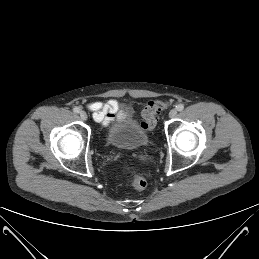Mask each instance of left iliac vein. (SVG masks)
Returning a JSON list of instances; mask_svg holds the SVG:
<instances>
[{"label":"left iliac vein","instance_id":"obj_1","mask_svg":"<svg viewBox=\"0 0 259 259\" xmlns=\"http://www.w3.org/2000/svg\"><path fill=\"white\" fill-rule=\"evenodd\" d=\"M177 115V110L176 109H172L170 112H169V117L170 118H174L176 117Z\"/></svg>","mask_w":259,"mask_h":259}]
</instances>
